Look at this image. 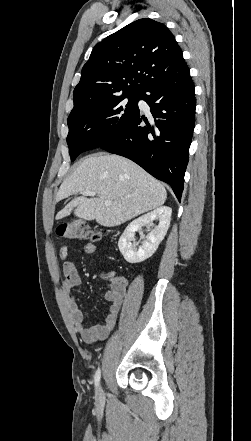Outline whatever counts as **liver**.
I'll return each instance as SVG.
<instances>
[{"instance_id": "obj_1", "label": "liver", "mask_w": 251, "mask_h": 441, "mask_svg": "<svg viewBox=\"0 0 251 441\" xmlns=\"http://www.w3.org/2000/svg\"><path fill=\"white\" fill-rule=\"evenodd\" d=\"M83 191H94L93 198L76 197L56 219L74 214L84 220H96L114 227L158 208L165 203L164 186L134 162L118 155L94 154L86 157L61 184L56 200ZM112 203L105 205V201Z\"/></svg>"}]
</instances>
